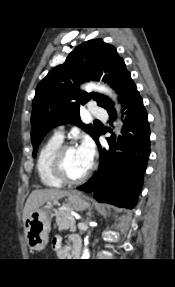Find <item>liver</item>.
<instances>
[{"instance_id":"6515ba94","label":"liver","mask_w":175,"mask_h":287,"mask_svg":"<svg viewBox=\"0 0 175 287\" xmlns=\"http://www.w3.org/2000/svg\"><path fill=\"white\" fill-rule=\"evenodd\" d=\"M69 194L68 191L58 189H37L29 195L23 210V221L34 210L40 208L44 203L56 201Z\"/></svg>"}]
</instances>
